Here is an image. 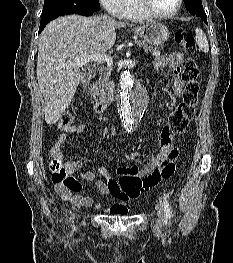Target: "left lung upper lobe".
<instances>
[{"instance_id":"1","label":"left lung upper lobe","mask_w":233,"mask_h":263,"mask_svg":"<svg viewBox=\"0 0 233 263\" xmlns=\"http://www.w3.org/2000/svg\"><path fill=\"white\" fill-rule=\"evenodd\" d=\"M184 2L191 14L201 18L206 15L201 0H184Z\"/></svg>"}]
</instances>
